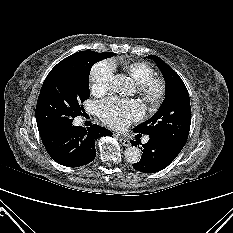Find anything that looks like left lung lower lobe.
<instances>
[{
    "mask_svg": "<svg viewBox=\"0 0 233 233\" xmlns=\"http://www.w3.org/2000/svg\"><path fill=\"white\" fill-rule=\"evenodd\" d=\"M136 146V141H131ZM143 154L139 162L133 164V167L141 172L154 173L166 168L180 153L166 142L155 136H149V141L142 144Z\"/></svg>",
    "mask_w": 233,
    "mask_h": 233,
    "instance_id": "0a47b994",
    "label": "left lung lower lobe"
}]
</instances>
